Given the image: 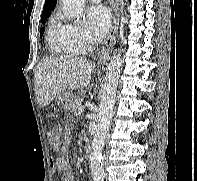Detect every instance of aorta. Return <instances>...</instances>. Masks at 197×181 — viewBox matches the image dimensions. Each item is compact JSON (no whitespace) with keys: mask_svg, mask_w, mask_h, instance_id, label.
<instances>
[{"mask_svg":"<svg viewBox=\"0 0 197 181\" xmlns=\"http://www.w3.org/2000/svg\"><path fill=\"white\" fill-rule=\"evenodd\" d=\"M65 14L75 22L82 18L85 0H60ZM122 58L117 51L111 57L107 67L103 89L100 95V112L97 129L92 140L90 169L93 181H104V168L101 162L102 149L113 116L116 93L119 82Z\"/></svg>","mask_w":197,"mask_h":181,"instance_id":"aorta-1","label":"aorta"}]
</instances>
